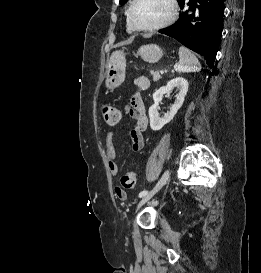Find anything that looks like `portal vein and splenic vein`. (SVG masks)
<instances>
[{
    "label": "portal vein and splenic vein",
    "mask_w": 261,
    "mask_h": 273,
    "mask_svg": "<svg viewBox=\"0 0 261 273\" xmlns=\"http://www.w3.org/2000/svg\"><path fill=\"white\" fill-rule=\"evenodd\" d=\"M160 72H161V74H163V73H164V71H163V70H161Z\"/></svg>",
    "instance_id": "18ae733b"
}]
</instances>
